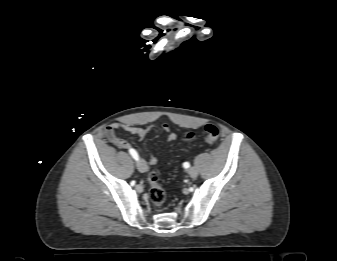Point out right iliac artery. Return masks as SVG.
Listing matches in <instances>:
<instances>
[{"mask_svg":"<svg viewBox=\"0 0 337 261\" xmlns=\"http://www.w3.org/2000/svg\"><path fill=\"white\" fill-rule=\"evenodd\" d=\"M129 153H130V155H131L136 161L139 160V156H138L137 152H136L134 149H130V150H129Z\"/></svg>","mask_w":337,"mask_h":261,"instance_id":"1","label":"right iliac artery"}]
</instances>
